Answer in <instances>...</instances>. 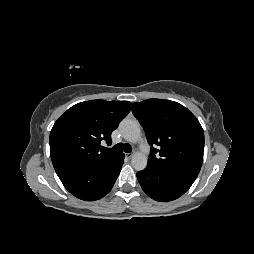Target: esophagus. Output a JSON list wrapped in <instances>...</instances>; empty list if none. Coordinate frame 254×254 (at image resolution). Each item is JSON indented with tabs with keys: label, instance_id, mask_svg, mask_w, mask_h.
<instances>
[{
	"label": "esophagus",
	"instance_id": "34e87169",
	"mask_svg": "<svg viewBox=\"0 0 254 254\" xmlns=\"http://www.w3.org/2000/svg\"><path fill=\"white\" fill-rule=\"evenodd\" d=\"M133 155H134L133 153H126V154H125V156H126L127 158H129V159L132 158Z\"/></svg>",
	"mask_w": 254,
	"mask_h": 254
}]
</instances>
